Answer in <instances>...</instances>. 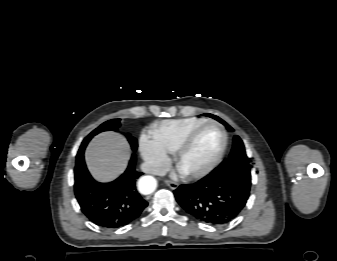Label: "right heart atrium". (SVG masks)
Segmentation results:
<instances>
[{
    "mask_svg": "<svg viewBox=\"0 0 337 261\" xmlns=\"http://www.w3.org/2000/svg\"><path fill=\"white\" fill-rule=\"evenodd\" d=\"M139 145L148 169L156 174L161 173L168 164L167 154L147 135L141 136Z\"/></svg>",
    "mask_w": 337,
    "mask_h": 261,
    "instance_id": "right-heart-atrium-1",
    "label": "right heart atrium"
}]
</instances>
